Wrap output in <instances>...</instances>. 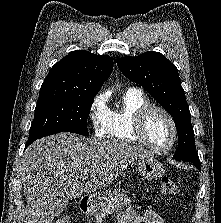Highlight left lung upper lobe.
I'll list each match as a JSON object with an SVG mask.
<instances>
[{"instance_id": "obj_1", "label": "left lung upper lobe", "mask_w": 221, "mask_h": 223, "mask_svg": "<svg viewBox=\"0 0 221 223\" xmlns=\"http://www.w3.org/2000/svg\"><path fill=\"white\" fill-rule=\"evenodd\" d=\"M117 65L128 79L142 85L173 117L178 132V148L173 158L200 162L191 115L176 66L153 51L135 57H122Z\"/></svg>"}]
</instances>
